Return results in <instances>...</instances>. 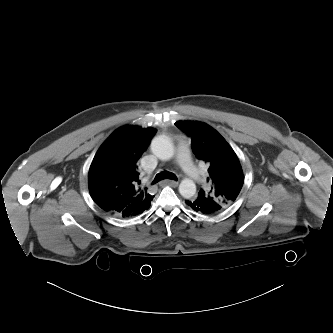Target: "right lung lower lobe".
Wrapping results in <instances>:
<instances>
[{
	"mask_svg": "<svg viewBox=\"0 0 333 333\" xmlns=\"http://www.w3.org/2000/svg\"><path fill=\"white\" fill-rule=\"evenodd\" d=\"M111 214L116 215V216H119V215H117V214H115V213H111Z\"/></svg>",
	"mask_w": 333,
	"mask_h": 333,
	"instance_id": "1",
	"label": "right lung lower lobe"
}]
</instances>
